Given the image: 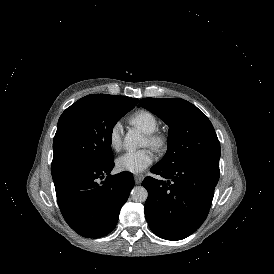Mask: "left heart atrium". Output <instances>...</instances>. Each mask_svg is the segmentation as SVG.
Listing matches in <instances>:
<instances>
[{
  "label": "left heart atrium",
  "instance_id": "1",
  "mask_svg": "<svg viewBox=\"0 0 274 274\" xmlns=\"http://www.w3.org/2000/svg\"><path fill=\"white\" fill-rule=\"evenodd\" d=\"M152 162V151L144 148L120 155L117 157L115 165L119 171L138 173L147 168Z\"/></svg>",
  "mask_w": 274,
  "mask_h": 274
}]
</instances>
